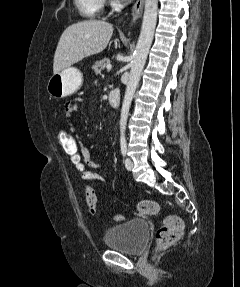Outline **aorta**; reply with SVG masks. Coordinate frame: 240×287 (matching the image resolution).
Instances as JSON below:
<instances>
[{
    "label": "aorta",
    "instance_id": "obj_1",
    "mask_svg": "<svg viewBox=\"0 0 240 287\" xmlns=\"http://www.w3.org/2000/svg\"><path fill=\"white\" fill-rule=\"evenodd\" d=\"M157 11H158V0H145V9H144L141 32L134 52V58L132 61L129 81L127 83L125 96L121 108V115H120L121 139L125 138V130L131 102L134 97L136 88L138 86L149 53V49L153 41L155 27L157 23Z\"/></svg>",
    "mask_w": 240,
    "mask_h": 287
}]
</instances>
